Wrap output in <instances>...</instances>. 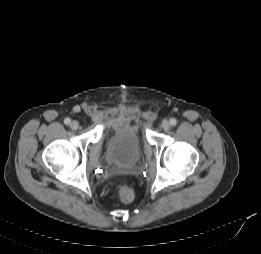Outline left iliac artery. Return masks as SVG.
<instances>
[{
  "label": "left iliac artery",
  "mask_w": 261,
  "mask_h": 254,
  "mask_svg": "<svg viewBox=\"0 0 261 254\" xmlns=\"http://www.w3.org/2000/svg\"><path fill=\"white\" fill-rule=\"evenodd\" d=\"M170 124H171L172 126H175V125L177 124V120H176L175 118H171V119H170Z\"/></svg>",
  "instance_id": "left-iliac-artery-1"
}]
</instances>
